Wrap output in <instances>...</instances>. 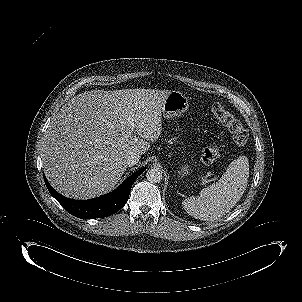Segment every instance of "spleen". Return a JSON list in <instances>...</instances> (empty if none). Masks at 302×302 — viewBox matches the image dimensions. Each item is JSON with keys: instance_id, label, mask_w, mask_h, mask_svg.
Returning <instances> with one entry per match:
<instances>
[{"instance_id": "spleen-1", "label": "spleen", "mask_w": 302, "mask_h": 302, "mask_svg": "<svg viewBox=\"0 0 302 302\" xmlns=\"http://www.w3.org/2000/svg\"><path fill=\"white\" fill-rule=\"evenodd\" d=\"M249 165L246 157L232 161L223 176L197 196L182 201L184 210L196 219L215 221L229 212L241 199L248 184Z\"/></svg>"}]
</instances>
